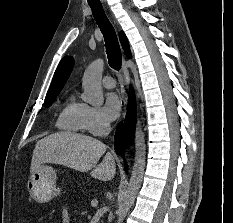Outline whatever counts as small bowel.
Listing matches in <instances>:
<instances>
[{
	"mask_svg": "<svg viewBox=\"0 0 233 223\" xmlns=\"http://www.w3.org/2000/svg\"><path fill=\"white\" fill-rule=\"evenodd\" d=\"M62 223H70V213L67 208L62 212Z\"/></svg>",
	"mask_w": 233,
	"mask_h": 223,
	"instance_id": "small-bowel-1",
	"label": "small bowel"
}]
</instances>
